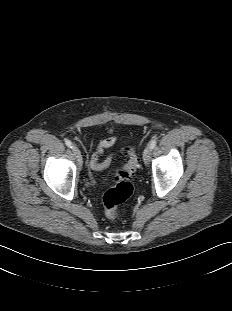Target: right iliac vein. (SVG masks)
Here are the masks:
<instances>
[{"label":"right iliac vein","instance_id":"obj_1","mask_svg":"<svg viewBox=\"0 0 232 311\" xmlns=\"http://www.w3.org/2000/svg\"><path fill=\"white\" fill-rule=\"evenodd\" d=\"M72 150H73L74 154H75L76 157H77L78 164H79L80 166H82V164H83V159H82V156H81V153H80L79 149H78L77 147L73 146V147H72Z\"/></svg>","mask_w":232,"mask_h":311}]
</instances>
